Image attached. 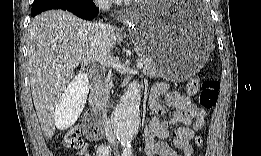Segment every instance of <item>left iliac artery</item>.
Returning a JSON list of instances; mask_svg holds the SVG:
<instances>
[{"label":"left iliac artery","instance_id":"left-iliac-artery-1","mask_svg":"<svg viewBox=\"0 0 261 156\" xmlns=\"http://www.w3.org/2000/svg\"><path fill=\"white\" fill-rule=\"evenodd\" d=\"M121 144L123 146L122 156H132L133 150L131 146V139L128 137L121 138Z\"/></svg>","mask_w":261,"mask_h":156}]
</instances>
